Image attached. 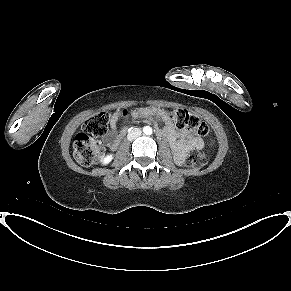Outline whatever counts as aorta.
I'll return each mask as SVG.
<instances>
[{
  "mask_svg": "<svg viewBox=\"0 0 291 291\" xmlns=\"http://www.w3.org/2000/svg\"><path fill=\"white\" fill-rule=\"evenodd\" d=\"M143 132H144V134H146V135H151V134H152V128H151L150 126H145V127L143 128Z\"/></svg>",
  "mask_w": 291,
  "mask_h": 291,
  "instance_id": "762f6f07",
  "label": "aorta"
}]
</instances>
